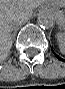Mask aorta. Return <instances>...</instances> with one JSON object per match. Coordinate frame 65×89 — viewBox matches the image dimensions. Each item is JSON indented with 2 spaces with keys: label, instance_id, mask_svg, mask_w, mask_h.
I'll return each mask as SVG.
<instances>
[{
  "label": "aorta",
  "instance_id": "1",
  "mask_svg": "<svg viewBox=\"0 0 65 89\" xmlns=\"http://www.w3.org/2000/svg\"><path fill=\"white\" fill-rule=\"evenodd\" d=\"M37 22L41 28L50 29L54 26L55 19L53 15L51 14V12L47 10H42L38 14Z\"/></svg>",
  "mask_w": 65,
  "mask_h": 89
}]
</instances>
